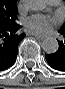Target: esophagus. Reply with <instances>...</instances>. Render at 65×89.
I'll return each mask as SVG.
<instances>
[{
    "mask_svg": "<svg viewBox=\"0 0 65 89\" xmlns=\"http://www.w3.org/2000/svg\"><path fill=\"white\" fill-rule=\"evenodd\" d=\"M30 35H33V36H35L37 39H41V40H43V39L45 38L44 35H38V34H34V33H30Z\"/></svg>",
    "mask_w": 65,
    "mask_h": 89,
    "instance_id": "34e87169",
    "label": "esophagus"
}]
</instances>
